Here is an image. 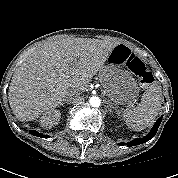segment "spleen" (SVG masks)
Wrapping results in <instances>:
<instances>
[{"instance_id":"obj_1","label":"spleen","mask_w":178,"mask_h":178,"mask_svg":"<svg viewBox=\"0 0 178 178\" xmlns=\"http://www.w3.org/2000/svg\"><path fill=\"white\" fill-rule=\"evenodd\" d=\"M161 86L158 82H152L142 95L141 103L132 108L119 111L126 125L134 130L141 131L151 126L161 109Z\"/></svg>"}]
</instances>
